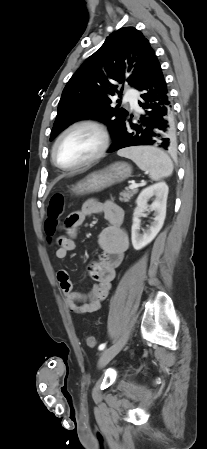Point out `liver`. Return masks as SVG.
Masks as SVG:
<instances>
[{"label":"liver","instance_id":"liver-1","mask_svg":"<svg viewBox=\"0 0 207 449\" xmlns=\"http://www.w3.org/2000/svg\"><path fill=\"white\" fill-rule=\"evenodd\" d=\"M72 175H73V173L68 174V176H72Z\"/></svg>","mask_w":207,"mask_h":449}]
</instances>
